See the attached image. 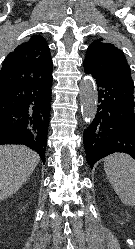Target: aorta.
I'll return each mask as SVG.
<instances>
[{"instance_id":"762f6f07","label":"aorta","mask_w":135,"mask_h":249,"mask_svg":"<svg viewBox=\"0 0 135 249\" xmlns=\"http://www.w3.org/2000/svg\"><path fill=\"white\" fill-rule=\"evenodd\" d=\"M98 93L94 80L84 77L80 82L81 111L84 121L91 123L97 112Z\"/></svg>"}]
</instances>
